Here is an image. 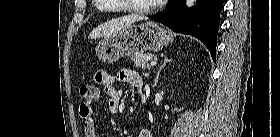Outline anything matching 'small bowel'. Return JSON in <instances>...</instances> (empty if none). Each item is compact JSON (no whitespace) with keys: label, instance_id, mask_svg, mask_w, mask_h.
<instances>
[{"label":"small bowel","instance_id":"obj_1","mask_svg":"<svg viewBox=\"0 0 280 137\" xmlns=\"http://www.w3.org/2000/svg\"><path fill=\"white\" fill-rule=\"evenodd\" d=\"M94 80L103 87L108 101V108L112 114L119 113L123 96V91L117 88L115 84L127 83L137 91L143 89V82L137 72L127 68L120 69L114 75L105 71L98 72L95 74ZM80 116L84 120L86 137H98L92 107L87 104H82L80 106ZM138 137H152L151 131L149 129H143L140 131Z\"/></svg>","mask_w":280,"mask_h":137}]
</instances>
